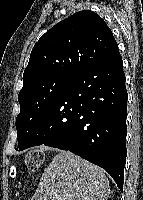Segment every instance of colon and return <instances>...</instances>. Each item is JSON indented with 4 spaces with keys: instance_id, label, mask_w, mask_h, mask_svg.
Returning <instances> with one entry per match:
<instances>
[{
    "instance_id": "1",
    "label": "colon",
    "mask_w": 143,
    "mask_h": 200,
    "mask_svg": "<svg viewBox=\"0 0 143 200\" xmlns=\"http://www.w3.org/2000/svg\"><path fill=\"white\" fill-rule=\"evenodd\" d=\"M44 159H45L44 153L38 149L28 150L24 154V162H25L26 168L29 171L38 170L43 164ZM15 175H16V171H15V168H13L11 171V176L15 177Z\"/></svg>"
}]
</instances>
